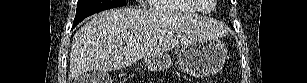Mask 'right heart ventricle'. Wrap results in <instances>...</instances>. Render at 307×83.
Instances as JSON below:
<instances>
[{"mask_svg":"<svg viewBox=\"0 0 307 83\" xmlns=\"http://www.w3.org/2000/svg\"><path fill=\"white\" fill-rule=\"evenodd\" d=\"M151 8L164 15L190 14L197 11L187 0H152Z\"/></svg>","mask_w":307,"mask_h":83,"instance_id":"e07e8e85","label":"right heart ventricle"}]
</instances>
